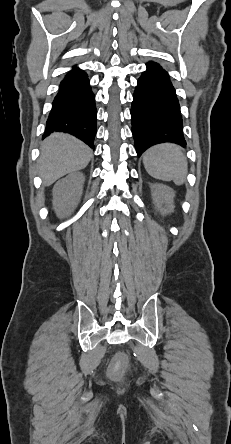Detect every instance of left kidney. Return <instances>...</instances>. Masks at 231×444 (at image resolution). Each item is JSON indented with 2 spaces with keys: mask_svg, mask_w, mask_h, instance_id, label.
I'll return each mask as SVG.
<instances>
[{
  "mask_svg": "<svg viewBox=\"0 0 231 444\" xmlns=\"http://www.w3.org/2000/svg\"><path fill=\"white\" fill-rule=\"evenodd\" d=\"M150 187H151L152 199L157 209L162 214L173 212L174 211L173 201L175 197V192L173 191V189L167 185L160 183L151 184Z\"/></svg>",
  "mask_w": 231,
  "mask_h": 444,
  "instance_id": "5707ae66",
  "label": "left kidney"
}]
</instances>
